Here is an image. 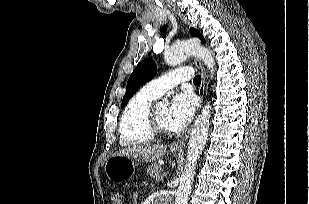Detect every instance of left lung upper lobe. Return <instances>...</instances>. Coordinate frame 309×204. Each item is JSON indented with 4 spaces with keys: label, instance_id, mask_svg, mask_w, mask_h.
Segmentation results:
<instances>
[{
    "label": "left lung upper lobe",
    "instance_id": "1",
    "mask_svg": "<svg viewBox=\"0 0 309 204\" xmlns=\"http://www.w3.org/2000/svg\"><path fill=\"white\" fill-rule=\"evenodd\" d=\"M190 34L194 37L201 39L205 43V39L202 34L194 29L190 28ZM157 73V66L152 58H148L140 62L131 74L126 87V93L123 97L121 108H123L133 94L146 82L150 81Z\"/></svg>",
    "mask_w": 309,
    "mask_h": 204
}]
</instances>
